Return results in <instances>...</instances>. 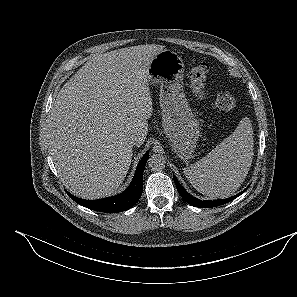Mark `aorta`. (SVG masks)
Segmentation results:
<instances>
[{
	"label": "aorta",
	"instance_id": "obj_1",
	"mask_svg": "<svg viewBox=\"0 0 297 297\" xmlns=\"http://www.w3.org/2000/svg\"><path fill=\"white\" fill-rule=\"evenodd\" d=\"M166 160L161 154H153L148 159V166L152 171H161L165 168Z\"/></svg>",
	"mask_w": 297,
	"mask_h": 297
}]
</instances>
